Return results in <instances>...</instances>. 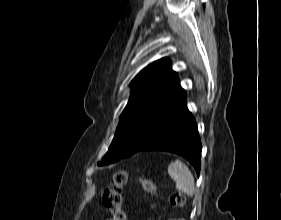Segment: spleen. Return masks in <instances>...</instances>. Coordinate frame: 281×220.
<instances>
[{"mask_svg": "<svg viewBox=\"0 0 281 220\" xmlns=\"http://www.w3.org/2000/svg\"><path fill=\"white\" fill-rule=\"evenodd\" d=\"M169 176L176 182V188L188 196L195 193L194 177L190 169L180 160L171 162L168 166Z\"/></svg>", "mask_w": 281, "mask_h": 220, "instance_id": "3e777b00", "label": "spleen"}]
</instances>
